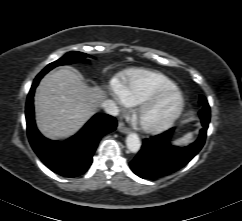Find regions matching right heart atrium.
I'll return each mask as SVG.
<instances>
[{
    "mask_svg": "<svg viewBox=\"0 0 242 221\" xmlns=\"http://www.w3.org/2000/svg\"><path fill=\"white\" fill-rule=\"evenodd\" d=\"M118 100L121 104H125V101L123 100V98L120 96V94L118 95Z\"/></svg>",
    "mask_w": 242,
    "mask_h": 221,
    "instance_id": "obj_1",
    "label": "right heart atrium"
}]
</instances>
